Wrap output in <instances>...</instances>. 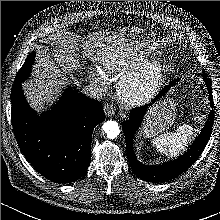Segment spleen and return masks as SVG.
I'll return each mask as SVG.
<instances>
[{
    "label": "spleen",
    "mask_w": 220,
    "mask_h": 220,
    "mask_svg": "<svg viewBox=\"0 0 220 220\" xmlns=\"http://www.w3.org/2000/svg\"><path fill=\"white\" fill-rule=\"evenodd\" d=\"M193 135V128L184 124L177 128V132L162 134L154 138L151 143L160 153L166 156H176L188 145Z\"/></svg>",
    "instance_id": "spleen-1"
}]
</instances>
